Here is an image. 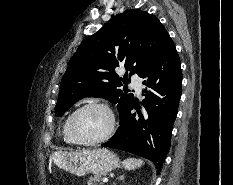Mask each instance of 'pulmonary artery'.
<instances>
[{
  "instance_id": "e3ab8cb5",
  "label": "pulmonary artery",
  "mask_w": 233,
  "mask_h": 185,
  "mask_svg": "<svg viewBox=\"0 0 233 185\" xmlns=\"http://www.w3.org/2000/svg\"><path fill=\"white\" fill-rule=\"evenodd\" d=\"M131 85L133 88H135L136 92L140 94L142 86L141 78L136 75L131 76Z\"/></svg>"
}]
</instances>
